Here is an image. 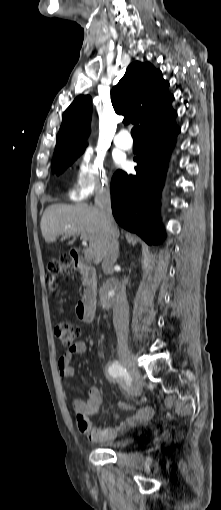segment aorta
<instances>
[{"instance_id": "1", "label": "aorta", "mask_w": 221, "mask_h": 510, "mask_svg": "<svg viewBox=\"0 0 221 510\" xmlns=\"http://www.w3.org/2000/svg\"><path fill=\"white\" fill-rule=\"evenodd\" d=\"M116 289V285L115 284H111L107 290H106V293L108 294V296H112V294L114 293V290Z\"/></svg>"}]
</instances>
